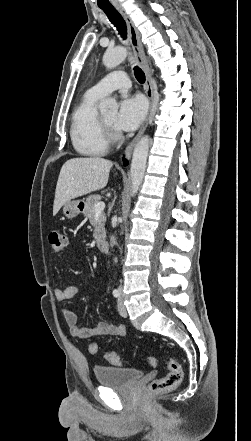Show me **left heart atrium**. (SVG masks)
<instances>
[{"mask_svg": "<svg viewBox=\"0 0 251 441\" xmlns=\"http://www.w3.org/2000/svg\"><path fill=\"white\" fill-rule=\"evenodd\" d=\"M146 114V103L141 96L126 97L120 103L114 127L118 131L135 130Z\"/></svg>", "mask_w": 251, "mask_h": 441, "instance_id": "39dd6f15", "label": "left heart atrium"}]
</instances>
